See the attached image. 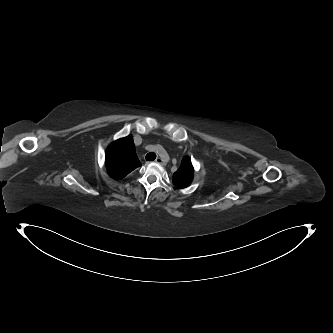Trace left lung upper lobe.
<instances>
[{
  "label": "left lung upper lobe",
  "mask_w": 333,
  "mask_h": 333,
  "mask_svg": "<svg viewBox=\"0 0 333 333\" xmlns=\"http://www.w3.org/2000/svg\"><path fill=\"white\" fill-rule=\"evenodd\" d=\"M194 168L189 157H185L179 169L173 174V184L179 188L189 186L193 180Z\"/></svg>",
  "instance_id": "1"
}]
</instances>
